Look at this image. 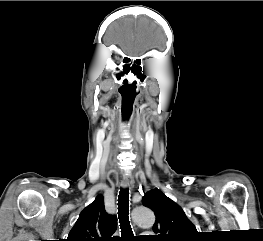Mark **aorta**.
<instances>
[{
	"mask_svg": "<svg viewBox=\"0 0 263 241\" xmlns=\"http://www.w3.org/2000/svg\"><path fill=\"white\" fill-rule=\"evenodd\" d=\"M134 221L141 226L151 227L154 224L155 216L151 209L148 207L140 206L133 210Z\"/></svg>",
	"mask_w": 263,
	"mask_h": 241,
	"instance_id": "aorta-1",
	"label": "aorta"
}]
</instances>
